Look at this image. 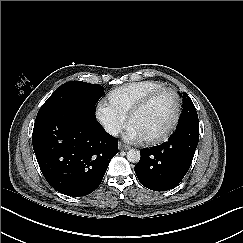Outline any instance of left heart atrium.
Listing matches in <instances>:
<instances>
[{
    "instance_id": "obj_1",
    "label": "left heart atrium",
    "mask_w": 243,
    "mask_h": 243,
    "mask_svg": "<svg viewBox=\"0 0 243 243\" xmlns=\"http://www.w3.org/2000/svg\"><path fill=\"white\" fill-rule=\"evenodd\" d=\"M128 136L131 141H142L143 135L136 128L130 127L128 129Z\"/></svg>"
}]
</instances>
